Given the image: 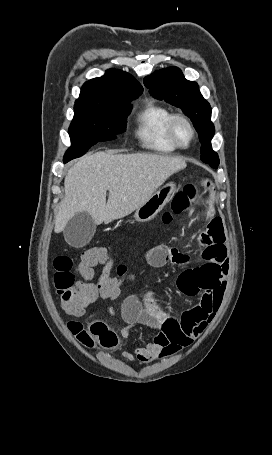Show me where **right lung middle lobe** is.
Segmentation results:
<instances>
[{
  "label": "right lung middle lobe",
  "instance_id": "right-lung-middle-lobe-1",
  "mask_svg": "<svg viewBox=\"0 0 272 455\" xmlns=\"http://www.w3.org/2000/svg\"><path fill=\"white\" fill-rule=\"evenodd\" d=\"M116 108L74 107V118L69 127L72 146L64 156V163L85 154L99 141L113 140L126 130V119L131 104Z\"/></svg>",
  "mask_w": 272,
  "mask_h": 455
}]
</instances>
